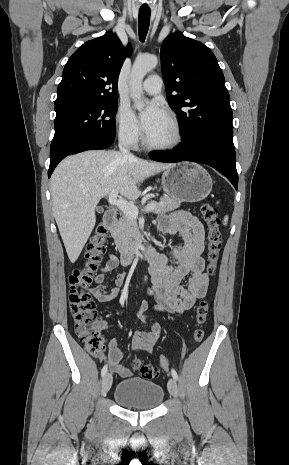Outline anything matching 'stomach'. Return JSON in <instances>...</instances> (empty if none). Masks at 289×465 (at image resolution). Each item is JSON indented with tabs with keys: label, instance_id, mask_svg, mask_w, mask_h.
<instances>
[{
	"label": "stomach",
	"instance_id": "1",
	"mask_svg": "<svg viewBox=\"0 0 289 465\" xmlns=\"http://www.w3.org/2000/svg\"><path fill=\"white\" fill-rule=\"evenodd\" d=\"M163 190L178 202H198L211 192L213 182L208 172L191 162L173 164L161 176Z\"/></svg>",
	"mask_w": 289,
	"mask_h": 465
}]
</instances>
